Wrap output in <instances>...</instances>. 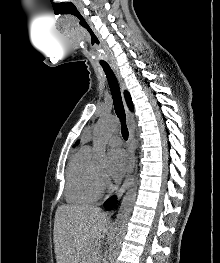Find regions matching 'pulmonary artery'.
I'll return each instance as SVG.
<instances>
[{
    "instance_id": "pulmonary-artery-1",
    "label": "pulmonary artery",
    "mask_w": 220,
    "mask_h": 263,
    "mask_svg": "<svg viewBox=\"0 0 220 263\" xmlns=\"http://www.w3.org/2000/svg\"><path fill=\"white\" fill-rule=\"evenodd\" d=\"M107 144L110 146H119L121 144V139L118 136H112L107 140Z\"/></svg>"
}]
</instances>
